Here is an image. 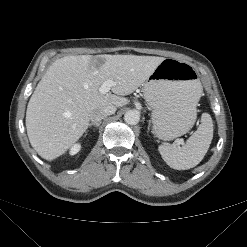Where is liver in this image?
I'll use <instances>...</instances> for the list:
<instances>
[{"label":"liver","instance_id":"obj_1","mask_svg":"<svg viewBox=\"0 0 247 247\" xmlns=\"http://www.w3.org/2000/svg\"><path fill=\"white\" fill-rule=\"evenodd\" d=\"M137 55H77L57 59L33 92L26 111L31 146L46 160L64 154L84 134L90 114L108 106L123 107L164 60ZM106 80L111 93L99 89Z\"/></svg>","mask_w":247,"mask_h":247}]
</instances>
